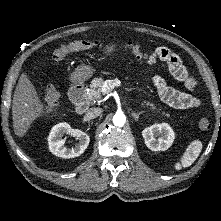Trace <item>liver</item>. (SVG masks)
I'll return each mask as SVG.
<instances>
[{
    "label": "liver",
    "instance_id": "liver-1",
    "mask_svg": "<svg viewBox=\"0 0 221 221\" xmlns=\"http://www.w3.org/2000/svg\"><path fill=\"white\" fill-rule=\"evenodd\" d=\"M44 105L40 102L34 85L23 73L16 85L12 101L13 128L18 137H23L32 122L44 113Z\"/></svg>",
    "mask_w": 221,
    "mask_h": 221
}]
</instances>
